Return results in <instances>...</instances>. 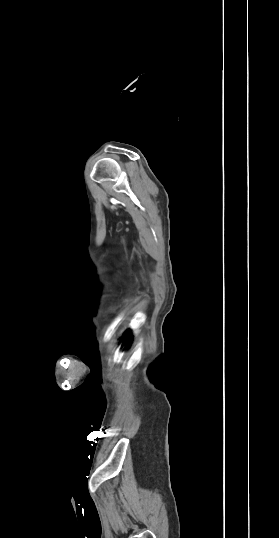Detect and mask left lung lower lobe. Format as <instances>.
Here are the masks:
<instances>
[{"instance_id":"1","label":"left lung lower lobe","mask_w":279,"mask_h":538,"mask_svg":"<svg viewBox=\"0 0 279 538\" xmlns=\"http://www.w3.org/2000/svg\"><path fill=\"white\" fill-rule=\"evenodd\" d=\"M130 336H127V339L126 340H129Z\"/></svg>"}]
</instances>
